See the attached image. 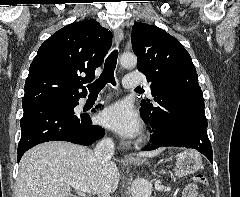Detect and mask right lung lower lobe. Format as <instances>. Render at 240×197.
Segmentation results:
<instances>
[{"mask_svg": "<svg viewBox=\"0 0 240 197\" xmlns=\"http://www.w3.org/2000/svg\"><path fill=\"white\" fill-rule=\"evenodd\" d=\"M78 100L79 98L58 99L23 105L18 162L27 150L43 142L68 141L89 146L103 137L102 127L93 125L89 115L74 114Z\"/></svg>", "mask_w": 240, "mask_h": 197, "instance_id": "obj_1", "label": "right lung lower lobe"}]
</instances>
